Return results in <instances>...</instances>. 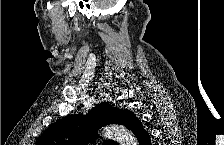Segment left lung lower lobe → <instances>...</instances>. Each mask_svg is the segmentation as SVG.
I'll return each instance as SVG.
<instances>
[{"label": "left lung lower lobe", "instance_id": "obj_1", "mask_svg": "<svg viewBox=\"0 0 224 145\" xmlns=\"http://www.w3.org/2000/svg\"><path fill=\"white\" fill-rule=\"evenodd\" d=\"M131 131L136 136L140 145H151L150 136L137 117L134 118L131 124Z\"/></svg>", "mask_w": 224, "mask_h": 145}]
</instances>
